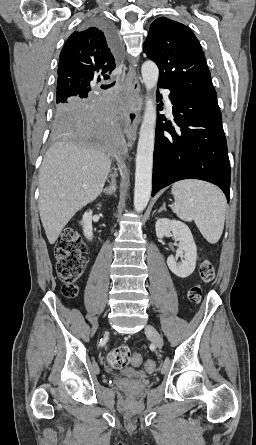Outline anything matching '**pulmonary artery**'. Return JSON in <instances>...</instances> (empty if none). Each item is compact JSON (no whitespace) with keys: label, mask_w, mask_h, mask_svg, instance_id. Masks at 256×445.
I'll return each instance as SVG.
<instances>
[{"label":"pulmonary artery","mask_w":256,"mask_h":445,"mask_svg":"<svg viewBox=\"0 0 256 445\" xmlns=\"http://www.w3.org/2000/svg\"><path fill=\"white\" fill-rule=\"evenodd\" d=\"M165 94H166V99H165V102H166V106L170 109L171 108V102H170V100L168 99V92H165Z\"/></svg>","instance_id":"1"}]
</instances>
